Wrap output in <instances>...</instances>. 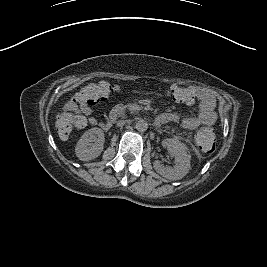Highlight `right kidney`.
Returning a JSON list of instances; mask_svg holds the SVG:
<instances>
[{"mask_svg": "<svg viewBox=\"0 0 267 267\" xmlns=\"http://www.w3.org/2000/svg\"><path fill=\"white\" fill-rule=\"evenodd\" d=\"M105 142L104 132L98 127L87 130L78 140L75 154L81 161L97 158L103 151Z\"/></svg>", "mask_w": 267, "mask_h": 267, "instance_id": "right-kidney-1", "label": "right kidney"}]
</instances>
